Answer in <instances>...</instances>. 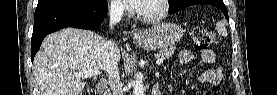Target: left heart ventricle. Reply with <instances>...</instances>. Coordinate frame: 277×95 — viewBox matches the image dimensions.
<instances>
[{"label":"left heart ventricle","mask_w":277,"mask_h":95,"mask_svg":"<svg viewBox=\"0 0 277 95\" xmlns=\"http://www.w3.org/2000/svg\"><path fill=\"white\" fill-rule=\"evenodd\" d=\"M160 9L161 4L158 0H145L141 4L139 11L145 15H152L158 13Z\"/></svg>","instance_id":"b2bd125f"}]
</instances>
